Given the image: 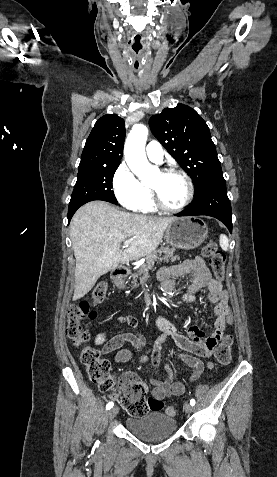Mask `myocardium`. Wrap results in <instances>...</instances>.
I'll list each match as a JSON object with an SVG mask.
<instances>
[{
	"instance_id": "f54148a6",
	"label": "myocardium",
	"mask_w": 277,
	"mask_h": 477,
	"mask_svg": "<svg viewBox=\"0 0 277 477\" xmlns=\"http://www.w3.org/2000/svg\"><path fill=\"white\" fill-rule=\"evenodd\" d=\"M160 173H162V174H176V175L181 176L186 183L187 194H186V197H185V199H184V201L181 205H179L177 207H169V206H167L163 203V201L160 198V195H159L158 191L156 190V188L154 186L149 185V190H150L152 200H153V203H154L155 207L157 209L165 212V213H179V212L183 211L184 209H186L190 205V203L192 202L193 197H194V184H193V181H192L191 177L184 170L179 169V168H175V167H170V168H167V169H163Z\"/></svg>"
}]
</instances>
